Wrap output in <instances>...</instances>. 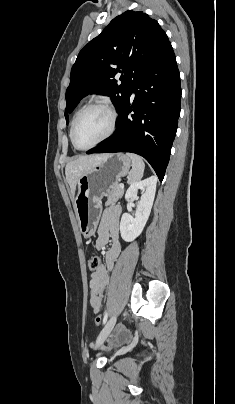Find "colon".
Listing matches in <instances>:
<instances>
[{"mask_svg": "<svg viewBox=\"0 0 235 404\" xmlns=\"http://www.w3.org/2000/svg\"><path fill=\"white\" fill-rule=\"evenodd\" d=\"M101 266V260L98 256H91L88 259V267L90 270L95 271ZM95 324L100 325L102 322V317L100 315L95 316Z\"/></svg>", "mask_w": 235, "mask_h": 404, "instance_id": "1", "label": "colon"}]
</instances>
